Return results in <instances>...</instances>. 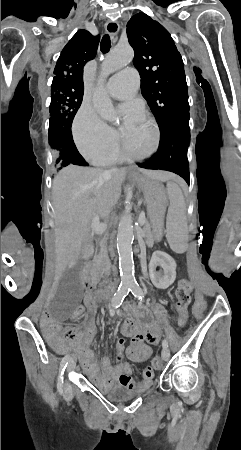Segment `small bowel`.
Listing matches in <instances>:
<instances>
[{"instance_id":"small-bowel-1","label":"small bowel","mask_w":241,"mask_h":450,"mask_svg":"<svg viewBox=\"0 0 241 450\" xmlns=\"http://www.w3.org/2000/svg\"><path fill=\"white\" fill-rule=\"evenodd\" d=\"M87 291L85 296V305L88 307L91 313L96 310V292L94 291V284L87 282L85 284ZM43 307L38 312L39 319H52L53 312L48 310L43 302ZM159 317L164 315L162 310L157 312ZM131 320H126L122 326V332L124 336L131 337V343L124 351L123 344L124 339H120L117 346V353L115 355L116 364L111 363V359L107 356L101 357L99 361L100 368L96 365L93 359L92 352L88 349L94 333L95 326L92 321L88 322L82 329L67 327L65 329V338L68 341H73L75 345V351L80 355L81 362L85 373L88 377L101 389L107 390L118 381L120 386L124 389L134 390L138 388L149 387L154 380V369H144L142 374V380L136 383L131 378V367L124 361L126 355L128 359L136 363H143L148 360L149 355H153L154 350L152 345L159 341L160 329L166 327V318H149V323H159L158 327H151L149 331L139 327V324H129ZM55 324L49 320L42 322L43 334L47 337V342L50 344H57L59 337L57 335H51L52 329ZM63 352L67 351L66 346L58 347Z\"/></svg>"}]
</instances>
